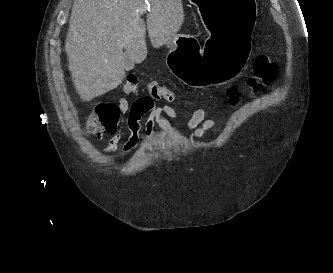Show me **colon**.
Here are the masks:
<instances>
[{
	"label": "colon",
	"mask_w": 333,
	"mask_h": 273,
	"mask_svg": "<svg viewBox=\"0 0 333 273\" xmlns=\"http://www.w3.org/2000/svg\"><path fill=\"white\" fill-rule=\"evenodd\" d=\"M275 64L268 56H259L254 65V73L247 80V85L254 91L271 82L275 74ZM146 89L152 100H165L173 103L177 95L172 90L156 81L147 83ZM125 94H136L138 92V79L135 74H129L122 86ZM226 96L231 104L239 102L238 87L230 86L226 90ZM120 110L114 103H98L89 115L85 129L88 134L100 136L105 133L116 131L119 122Z\"/></svg>",
	"instance_id": "obj_1"
}]
</instances>
